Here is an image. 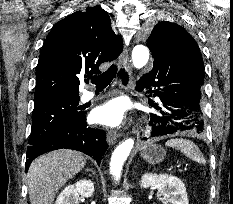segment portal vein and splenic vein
Instances as JSON below:
<instances>
[{
	"instance_id": "obj_1",
	"label": "portal vein and splenic vein",
	"mask_w": 233,
	"mask_h": 204,
	"mask_svg": "<svg viewBox=\"0 0 233 204\" xmlns=\"http://www.w3.org/2000/svg\"><path fill=\"white\" fill-rule=\"evenodd\" d=\"M177 169L180 170V165L177 166Z\"/></svg>"
}]
</instances>
